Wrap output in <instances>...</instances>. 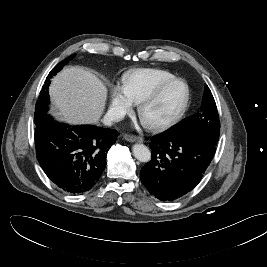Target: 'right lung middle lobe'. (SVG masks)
Here are the masks:
<instances>
[{
    "label": "right lung middle lobe",
    "mask_w": 267,
    "mask_h": 267,
    "mask_svg": "<svg viewBox=\"0 0 267 267\" xmlns=\"http://www.w3.org/2000/svg\"><path fill=\"white\" fill-rule=\"evenodd\" d=\"M74 56L75 54L71 55L70 57L66 58L64 61L57 64L47 76L45 84L43 85L42 90L40 92L39 99L36 103V107H35L36 112L34 115L35 122L38 121L40 118H42L46 114V110L48 108L47 106L49 103L48 89H49V85L51 82L50 81L51 78L55 76L56 73L59 72L68 63V61H70Z\"/></svg>",
    "instance_id": "obj_1"
}]
</instances>
